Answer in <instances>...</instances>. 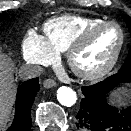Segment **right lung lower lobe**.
Listing matches in <instances>:
<instances>
[{"label":"right lung lower lobe","mask_w":131,"mask_h":131,"mask_svg":"<svg viewBox=\"0 0 131 131\" xmlns=\"http://www.w3.org/2000/svg\"><path fill=\"white\" fill-rule=\"evenodd\" d=\"M39 87L38 78L30 79L19 87L16 97L15 118L7 131H30L31 107Z\"/></svg>","instance_id":"right-lung-lower-lobe-1"}]
</instances>
